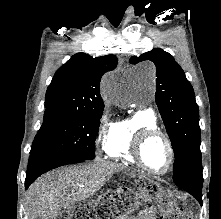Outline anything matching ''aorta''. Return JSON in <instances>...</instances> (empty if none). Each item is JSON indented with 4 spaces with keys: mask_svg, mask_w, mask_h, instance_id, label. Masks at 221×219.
<instances>
[{
    "mask_svg": "<svg viewBox=\"0 0 221 219\" xmlns=\"http://www.w3.org/2000/svg\"><path fill=\"white\" fill-rule=\"evenodd\" d=\"M138 75L149 85H153L155 77L153 68L142 67L138 70ZM103 93L108 98H115L120 94L118 88L115 87V83L110 79L105 81V84L103 85Z\"/></svg>",
    "mask_w": 221,
    "mask_h": 219,
    "instance_id": "obj_1",
    "label": "aorta"
}]
</instances>
